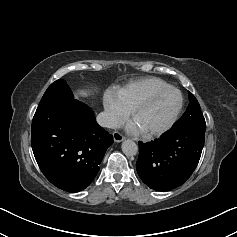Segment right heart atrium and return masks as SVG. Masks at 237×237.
I'll use <instances>...</instances> for the list:
<instances>
[{"instance_id": "1", "label": "right heart atrium", "mask_w": 237, "mask_h": 237, "mask_svg": "<svg viewBox=\"0 0 237 237\" xmlns=\"http://www.w3.org/2000/svg\"><path fill=\"white\" fill-rule=\"evenodd\" d=\"M104 109L106 121L110 127H116L126 120L129 112L119 102L113 93H108L104 97Z\"/></svg>"}]
</instances>
